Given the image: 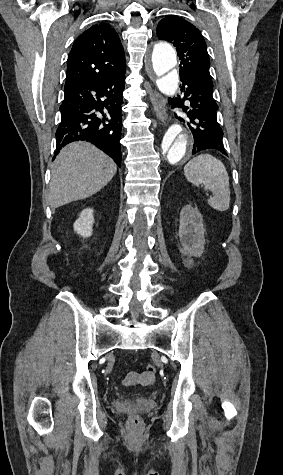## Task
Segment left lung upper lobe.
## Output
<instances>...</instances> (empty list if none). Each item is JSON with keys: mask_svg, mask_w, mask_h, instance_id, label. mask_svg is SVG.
Instances as JSON below:
<instances>
[{"mask_svg": "<svg viewBox=\"0 0 283 475\" xmlns=\"http://www.w3.org/2000/svg\"><path fill=\"white\" fill-rule=\"evenodd\" d=\"M157 36L176 47L180 62V76L193 75L212 81L206 43L200 31L178 16L163 18L157 26Z\"/></svg>", "mask_w": 283, "mask_h": 475, "instance_id": "5c2ea615", "label": "left lung upper lobe"}]
</instances>
